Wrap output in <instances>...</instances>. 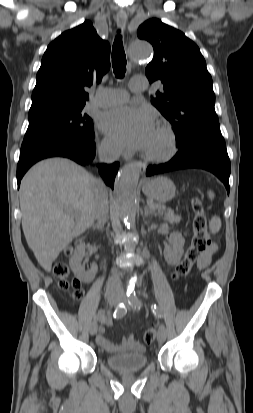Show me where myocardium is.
<instances>
[{
	"instance_id": "1",
	"label": "myocardium",
	"mask_w": 253,
	"mask_h": 413,
	"mask_svg": "<svg viewBox=\"0 0 253 413\" xmlns=\"http://www.w3.org/2000/svg\"><path fill=\"white\" fill-rule=\"evenodd\" d=\"M157 128L162 133L165 138L166 147L163 151L155 152L145 149L143 154L144 157L153 162H165L170 160L175 156L178 150V141L175 132L171 125L165 121H159L157 123Z\"/></svg>"
}]
</instances>
